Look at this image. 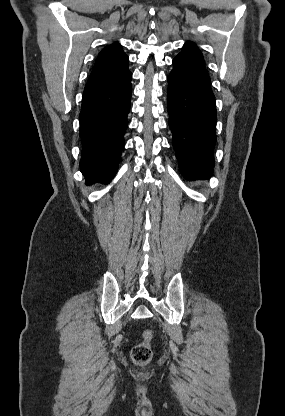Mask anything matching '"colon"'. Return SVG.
Here are the masks:
<instances>
[{"label": "colon", "mask_w": 285, "mask_h": 416, "mask_svg": "<svg viewBox=\"0 0 285 416\" xmlns=\"http://www.w3.org/2000/svg\"><path fill=\"white\" fill-rule=\"evenodd\" d=\"M151 332L145 331L143 341L137 344L131 352L132 361L138 366H144L149 363L152 357V351L149 345Z\"/></svg>", "instance_id": "1"}]
</instances>
